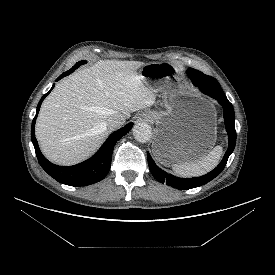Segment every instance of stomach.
<instances>
[{
  "instance_id": "stomach-1",
  "label": "stomach",
  "mask_w": 275,
  "mask_h": 275,
  "mask_svg": "<svg viewBox=\"0 0 275 275\" xmlns=\"http://www.w3.org/2000/svg\"><path fill=\"white\" fill-rule=\"evenodd\" d=\"M139 73L151 89L168 88L164 92L166 110L147 112L156 124L152 144L155 158L168 166L195 162L205 157L217 137L213 104L187 91L178 82V68L171 63H147Z\"/></svg>"
}]
</instances>
